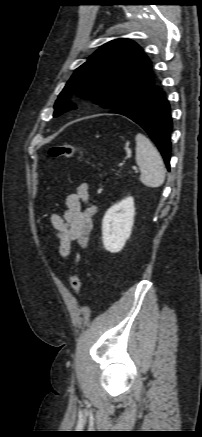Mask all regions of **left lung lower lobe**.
Here are the masks:
<instances>
[{
  "label": "left lung lower lobe",
  "mask_w": 202,
  "mask_h": 437,
  "mask_svg": "<svg viewBox=\"0 0 202 437\" xmlns=\"http://www.w3.org/2000/svg\"><path fill=\"white\" fill-rule=\"evenodd\" d=\"M124 115L139 124L161 152L170 169L172 120L165 93L155 83L148 89L124 101L109 111Z\"/></svg>",
  "instance_id": "1"
}]
</instances>
